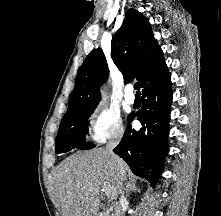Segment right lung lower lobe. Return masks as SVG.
I'll return each instance as SVG.
<instances>
[{
    "mask_svg": "<svg viewBox=\"0 0 221 216\" xmlns=\"http://www.w3.org/2000/svg\"><path fill=\"white\" fill-rule=\"evenodd\" d=\"M171 84L169 72L165 70L143 88L142 108L138 112L142 127L135 131L129 123L122 140L113 150L134 174L147 178L152 184L158 182L168 152ZM134 116H129V121Z\"/></svg>",
    "mask_w": 221,
    "mask_h": 216,
    "instance_id": "1",
    "label": "right lung lower lobe"
}]
</instances>
